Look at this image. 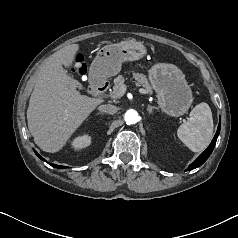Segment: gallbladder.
Masks as SVG:
<instances>
[{
  "label": "gallbladder",
  "instance_id": "1",
  "mask_svg": "<svg viewBox=\"0 0 238 238\" xmlns=\"http://www.w3.org/2000/svg\"><path fill=\"white\" fill-rule=\"evenodd\" d=\"M79 86H80V83L77 82V87H79Z\"/></svg>",
  "mask_w": 238,
  "mask_h": 238
}]
</instances>
